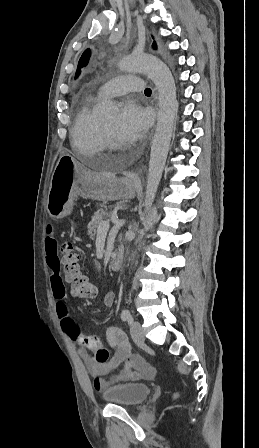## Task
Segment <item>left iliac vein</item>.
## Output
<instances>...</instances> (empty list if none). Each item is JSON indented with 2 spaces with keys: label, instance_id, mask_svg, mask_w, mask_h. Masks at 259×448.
Listing matches in <instances>:
<instances>
[{
  "label": "left iliac vein",
  "instance_id": "1",
  "mask_svg": "<svg viewBox=\"0 0 259 448\" xmlns=\"http://www.w3.org/2000/svg\"><path fill=\"white\" fill-rule=\"evenodd\" d=\"M130 334L135 343H143L145 340L143 328L138 321L131 323Z\"/></svg>",
  "mask_w": 259,
  "mask_h": 448
}]
</instances>
